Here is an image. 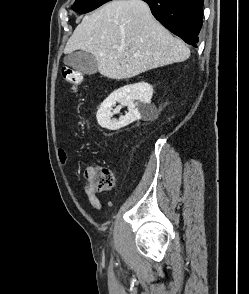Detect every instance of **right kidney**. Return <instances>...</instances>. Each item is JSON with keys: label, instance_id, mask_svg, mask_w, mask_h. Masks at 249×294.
I'll use <instances>...</instances> for the list:
<instances>
[{"label": "right kidney", "instance_id": "1", "mask_svg": "<svg viewBox=\"0 0 249 294\" xmlns=\"http://www.w3.org/2000/svg\"><path fill=\"white\" fill-rule=\"evenodd\" d=\"M152 96L153 88L146 82L126 85L117 89L100 105L96 114L98 124L108 130H119L140 118H153L157 109L151 104ZM117 102L120 105L112 109ZM123 106L128 107V112L124 116H120L119 119H112V116L119 113Z\"/></svg>", "mask_w": 249, "mask_h": 294}]
</instances>
